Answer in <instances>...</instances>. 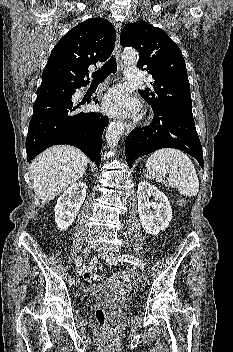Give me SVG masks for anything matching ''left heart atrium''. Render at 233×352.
I'll list each match as a JSON object with an SVG mask.
<instances>
[{
    "label": "left heart atrium",
    "instance_id": "1",
    "mask_svg": "<svg viewBox=\"0 0 233 352\" xmlns=\"http://www.w3.org/2000/svg\"><path fill=\"white\" fill-rule=\"evenodd\" d=\"M104 109L113 115H127L136 110L137 103L124 89L110 90L103 101Z\"/></svg>",
    "mask_w": 233,
    "mask_h": 352
}]
</instances>
